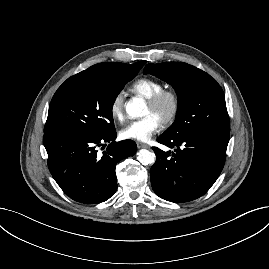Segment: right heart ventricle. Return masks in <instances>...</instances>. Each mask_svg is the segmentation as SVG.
Listing matches in <instances>:
<instances>
[{
  "instance_id": "e07e8e85",
  "label": "right heart ventricle",
  "mask_w": 269,
  "mask_h": 269,
  "mask_svg": "<svg viewBox=\"0 0 269 269\" xmlns=\"http://www.w3.org/2000/svg\"><path fill=\"white\" fill-rule=\"evenodd\" d=\"M161 89H163L162 83L150 77L139 78L135 80L130 87L133 93L145 99L150 98Z\"/></svg>"
}]
</instances>
